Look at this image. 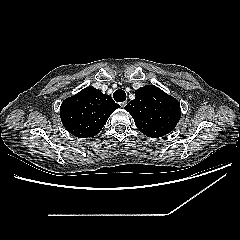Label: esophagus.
Segmentation results:
<instances>
[{"label":"esophagus","instance_id":"34e87169","mask_svg":"<svg viewBox=\"0 0 240 240\" xmlns=\"http://www.w3.org/2000/svg\"><path fill=\"white\" fill-rule=\"evenodd\" d=\"M126 105H127V102H126V101L120 103V106H121L122 108H124Z\"/></svg>","mask_w":240,"mask_h":240}]
</instances>
